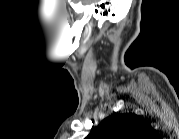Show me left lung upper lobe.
Masks as SVG:
<instances>
[{
	"mask_svg": "<svg viewBox=\"0 0 179 139\" xmlns=\"http://www.w3.org/2000/svg\"><path fill=\"white\" fill-rule=\"evenodd\" d=\"M150 131L151 126L138 115L114 114L94 128L88 139H142Z\"/></svg>",
	"mask_w": 179,
	"mask_h": 139,
	"instance_id": "obj_1",
	"label": "left lung upper lobe"
}]
</instances>
